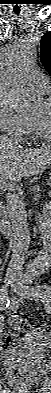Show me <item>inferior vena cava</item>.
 I'll return each instance as SVG.
<instances>
[{
	"instance_id": "1",
	"label": "inferior vena cava",
	"mask_w": 51,
	"mask_h": 393,
	"mask_svg": "<svg viewBox=\"0 0 51 393\" xmlns=\"http://www.w3.org/2000/svg\"><path fill=\"white\" fill-rule=\"evenodd\" d=\"M7 211L12 222L14 240L13 253L7 269L8 275H20L23 271L30 237L25 203L14 193L7 194Z\"/></svg>"
}]
</instances>
